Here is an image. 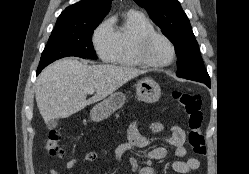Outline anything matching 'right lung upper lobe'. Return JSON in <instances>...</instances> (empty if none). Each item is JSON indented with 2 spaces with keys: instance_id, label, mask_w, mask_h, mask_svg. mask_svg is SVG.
Instances as JSON below:
<instances>
[{
  "instance_id": "1",
  "label": "right lung upper lobe",
  "mask_w": 249,
  "mask_h": 174,
  "mask_svg": "<svg viewBox=\"0 0 249 174\" xmlns=\"http://www.w3.org/2000/svg\"><path fill=\"white\" fill-rule=\"evenodd\" d=\"M111 8V0H82L67 7L59 16L55 30H66L102 21Z\"/></svg>"
}]
</instances>
